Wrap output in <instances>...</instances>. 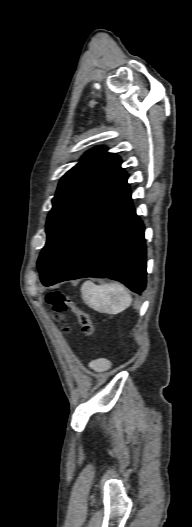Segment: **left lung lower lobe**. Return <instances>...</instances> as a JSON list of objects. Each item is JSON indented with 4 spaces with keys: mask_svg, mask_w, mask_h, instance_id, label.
Masks as SVG:
<instances>
[{
    "mask_svg": "<svg viewBox=\"0 0 192 527\" xmlns=\"http://www.w3.org/2000/svg\"><path fill=\"white\" fill-rule=\"evenodd\" d=\"M127 178L125 175L77 230L41 277L43 285L108 277L136 293L145 289L144 226L133 208Z\"/></svg>",
    "mask_w": 192,
    "mask_h": 527,
    "instance_id": "obj_1",
    "label": "left lung lower lobe"
}]
</instances>
